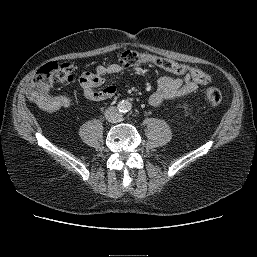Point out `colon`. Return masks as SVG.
I'll use <instances>...</instances> for the list:
<instances>
[{
    "label": "colon",
    "instance_id": "colon-1",
    "mask_svg": "<svg viewBox=\"0 0 257 257\" xmlns=\"http://www.w3.org/2000/svg\"><path fill=\"white\" fill-rule=\"evenodd\" d=\"M123 67H133L140 63L149 62L157 67L171 73L190 76L199 83L206 85L211 81L208 73L186 64L177 63L171 59L140 53L134 50H127L119 57ZM74 80V66L69 62L58 64L50 62L42 66L34 74L30 85L27 88V97L46 111H56L69 104L65 96L50 95V88L54 83L69 84ZM205 101L211 106H218L222 101V94L219 89L209 86L204 91Z\"/></svg>",
    "mask_w": 257,
    "mask_h": 257
}]
</instances>
